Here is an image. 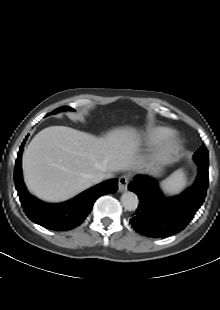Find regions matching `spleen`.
I'll list each match as a JSON object with an SVG mask.
<instances>
[{
    "instance_id": "obj_1",
    "label": "spleen",
    "mask_w": 220,
    "mask_h": 310,
    "mask_svg": "<svg viewBox=\"0 0 220 310\" xmlns=\"http://www.w3.org/2000/svg\"><path fill=\"white\" fill-rule=\"evenodd\" d=\"M186 176L183 171L175 172L168 180H166L162 188L166 194H178L186 186Z\"/></svg>"
}]
</instances>
